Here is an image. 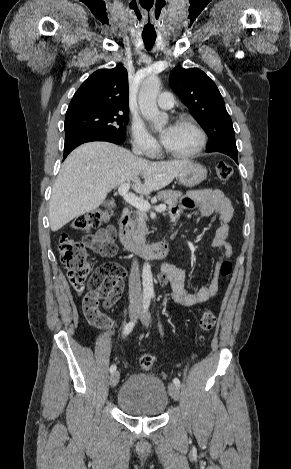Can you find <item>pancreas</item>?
Returning a JSON list of instances; mask_svg holds the SVG:
<instances>
[{
    "label": "pancreas",
    "instance_id": "1",
    "mask_svg": "<svg viewBox=\"0 0 291 469\" xmlns=\"http://www.w3.org/2000/svg\"><path fill=\"white\" fill-rule=\"evenodd\" d=\"M182 193L179 191L165 190L159 192L155 198L168 204L170 207L177 205ZM146 212L137 210L134 219L130 222V235L136 243L144 242V236L147 234Z\"/></svg>",
    "mask_w": 291,
    "mask_h": 469
}]
</instances>
